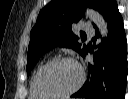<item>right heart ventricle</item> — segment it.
I'll use <instances>...</instances> for the list:
<instances>
[{"label": "right heart ventricle", "mask_w": 128, "mask_h": 99, "mask_svg": "<svg viewBox=\"0 0 128 99\" xmlns=\"http://www.w3.org/2000/svg\"><path fill=\"white\" fill-rule=\"evenodd\" d=\"M35 76V75H34ZM29 97L31 99H41L42 97H45V96H41L40 94H38L34 88V77L31 81V84H30V92H29Z\"/></svg>", "instance_id": "obj_1"}]
</instances>
